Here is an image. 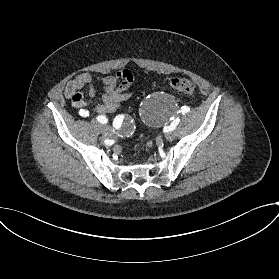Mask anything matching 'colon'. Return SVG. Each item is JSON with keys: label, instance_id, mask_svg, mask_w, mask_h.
<instances>
[{"label": "colon", "instance_id": "colon-1", "mask_svg": "<svg viewBox=\"0 0 279 279\" xmlns=\"http://www.w3.org/2000/svg\"><path fill=\"white\" fill-rule=\"evenodd\" d=\"M168 86L179 93L194 95L196 91L195 83L185 77H173L168 80Z\"/></svg>", "mask_w": 279, "mask_h": 279}]
</instances>
